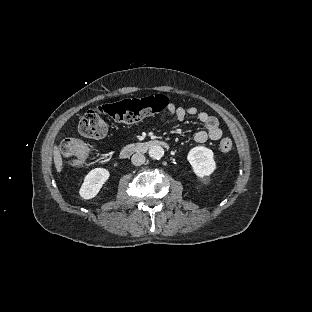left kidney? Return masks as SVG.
<instances>
[{
    "mask_svg": "<svg viewBox=\"0 0 312 312\" xmlns=\"http://www.w3.org/2000/svg\"><path fill=\"white\" fill-rule=\"evenodd\" d=\"M213 157L214 155L211 149L197 146L189 151L187 159L191 164L194 173L198 177L203 178L204 176L211 175L216 168Z\"/></svg>",
    "mask_w": 312,
    "mask_h": 312,
    "instance_id": "obj_1",
    "label": "left kidney"
}]
</instances>
